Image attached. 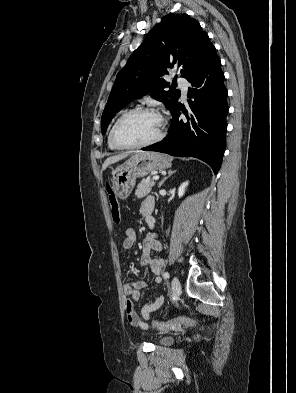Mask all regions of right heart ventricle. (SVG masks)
Returning a JSON list of instances; mask_svg holds the SVG:
<instances>
[{"label": "right heart ventricle", "mask_w": 296, "mask_h": 393, "mask_svg": "<svg viewBox=\"0 0 296 393\" xmlns=\"http://www.w3.org/2000/svg\"><path fill=\"white\" fill-rule=\"evenodd\" d=\"M116 120H117V119H116ZM116 120L114 121V123L116 122ZM114 123L112 124V126L110 127V129H109V131H108V135H107V144H108V146H109V148H110L111 150H118L119 148H117V147L112 143V140H111V131H112V128H113Z\"/></svg>", "instance_id": "1"}]
</instances>
